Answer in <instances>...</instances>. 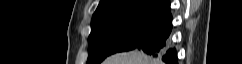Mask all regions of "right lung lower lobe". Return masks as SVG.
Instances as JSON below:
<instances>
[{"label": "right lung lower lobe", "instance_id": "98d812e1", "mask_svg": "<svg viewBox=\"0 0 242 64\" xmlns=\"http://www.w3.org/2000/svg\"><path fill=\"white\" fill-rule=\"evenodd\" d=\"M172 16L170 11L165 14L164 21L137 46L146 54L160 58L165 64H178L176 49L171 46Z\"/></svg>", "mask_w": 242, "mask_h": 64}]
</instances>
